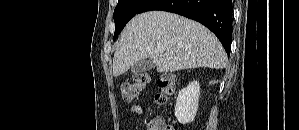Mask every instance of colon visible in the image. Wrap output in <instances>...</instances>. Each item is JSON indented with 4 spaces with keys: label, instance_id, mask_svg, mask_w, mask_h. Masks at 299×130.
<instances>
[{
    "label": "colon",
    "instance_id": "colon-1",
    "mask_svg": "<svg viewBox=\"0 0 299 130\" xmlns=\"http://www.w3.org/2000/svg\"><path fill=\"white\" fill-rule=\"evenodd\" d=\"M151 76L147 72H140L135 74L131 81L124 82L121 85L122 98L130 102L134 100L143 89L150 83ZM157 84L159 93L155 96L158 104L166 103L168 97L172 95L176 89L177 76L172 72H164L158 76ZM147 130H174V128L166 124L161 119H153L146 125Z\"/></svg>",
    "mask_w": 299,
    "mask_h": 130
}]
</instances>
